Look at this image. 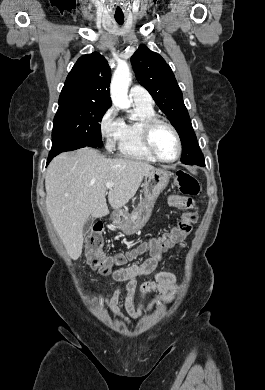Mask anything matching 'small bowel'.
I'll return each mask as SVG.
<instances>
[{"label":"small bowel","mask_w":265,"mask_h":390,"mask_svg":"<svg viewBox=\"0 0 265 390\" xmlns=\"http://www.w3.org/2000/svg\"><path fill=\"white\" fill-rule=\"evenodd\" d=\"M169 204L179 209H194L196 204L192 198L187 196L172 195L169 197ZM165 234V233H164ZM155 239L140 245L135 251L128 255H119L117 258L122 260V263L127 259L144 254L148 249L155 245ZM184 240V239H183ZM183 240L177 241L182 244ZM176 242H170L163 249L151 254L143 263L124 265L123 267L112 272V278L115 282H126L127 298L126 309L129 314L125 316L118 306V296L120 288L116 287L108 294L102 302L103 308L106 309L113 317L125 324H131L132 319H138L143 314L149 313L159 305L169 301L171 292L174 288L176 277L170 272H156V268L161 262L164 252L172 248ZM154 275L153 281L144 282L138 286L137 278L141 275ZM156 291L159 295L146 304V295L149 292Z\"/></svg>","instance_id":"obj_1"}]
</instances>
